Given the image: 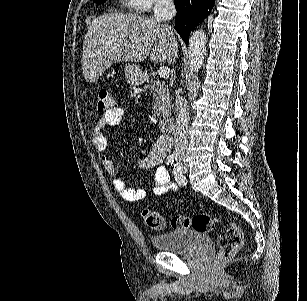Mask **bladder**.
<instances>
[{
	"label": "bladder",
	"instance_id": "1",
	"mask_svg": "<svg viewBox=\"0 0 307 301\" xmlns=\"http://www.w3.org/2000/svg\"><path fill=\"white\" fill-rule=\"evenodd\" d=\"M202 242L203 238L199 232H191L185 229L152 236L155 250L171 253L190 252L193 248L201 245Z\"/></svg>",
	"mask_w": 307,
	"mask_h": 301
}]
</instances>
